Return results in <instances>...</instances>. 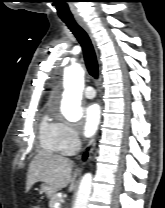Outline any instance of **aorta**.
I'll return each instance as SVG.
<instances>
[{"label":"aorta","mask_w":165,"mask_h":208,"mask_svg":"<svg viewBox=\"0 0 165 208\" xmlns=\"http://www.w3.org/2000/svg\"><path fill=\"white\" fill-rule=\"evenodd\" d=\"M65 91L61 104V112L71 122H76L82 117L81 99L84 88V71L78 64H73L65 71ZM92 174L86 173L80 182L73 208H87L91 194Z\"/></svg>","instance_id":"obj_1"}]
</instances>
